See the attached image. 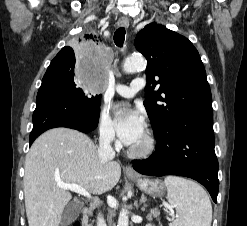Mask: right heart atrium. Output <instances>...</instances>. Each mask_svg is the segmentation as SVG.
<instances>
[{
	"label": "right heart atrium",
	"mask_w": 247,
	"mask_h": 226,
	"mask_svg": "<svg viewBox=\"0 0 247 226\" xmlns=\"http://www.w3.org/2000/svg\"><path fill=\"white\" fill-rule=\"evenodd\" d=\"M98 133L100 139L106 143L115 141V128L107 109H102L98 119Z\"/></svg>",
	"instance_id": "d8ad5b80"
}]
</instances>
